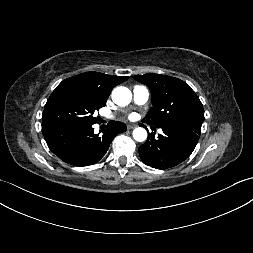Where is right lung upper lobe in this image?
I'll return each instance as SVG.
<instances>
[{"label":"right lung upper lobe","instance_id":"obj_1","mask_svg":"<svg viewBox=\"0 0 253 253\" xmlns=\"http://www.w3.org/2000/svg\"><path fill=\"white\" fill-rule=\"evenodd\" d=\"M79 81L98 98L107 101L111 90L127 80L126 76H112L99 72H86L72 77Z\"/></svg>","mask_w":253,"mask_h":253}]
</instances>
